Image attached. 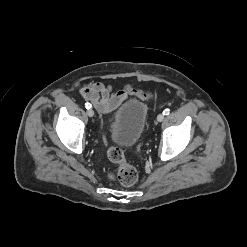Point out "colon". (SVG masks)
I'll return each mask as SVG.
<instances>
[{
    "label": "colon",
    "mask_w": 247,
    "mask_h": 247,
    "mask_svg": "<svg viewBox=\"0 0 247 247\" xmlns=\"http://www.w3.org/2000/svg\"><path fill=\"white\" fill-rule=\"evenodd\" d=\"M107 157L111 162L118 164L117 171L107 172L109 180L117 181L124 186H132L137 182L136 169L126 161L125 155L119 147H110L107 151Z\"/></svg>",
    "instance_id": "5ec220e1"
}]
</instances>
